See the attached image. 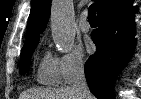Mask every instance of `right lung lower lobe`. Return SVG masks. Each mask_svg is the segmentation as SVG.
<instances>
[{
	"label": "right lung lower lobe",
	"instance_id": "1",
	"mask_svg": "<svg viewBox=\"0 0 141 99\" xmlns=\"http://www.w3.org/2000/svg\"><path fill=\"white\" fill-rule=\"evenodd\" d=\"M132 0H109L92 32L97 51L85 64L86 80L98 99H113L111 81L131 57L135 44Z\"/></svg>",
	"mask_w": 141,
	"mask_h": 99
}]
</instances>
